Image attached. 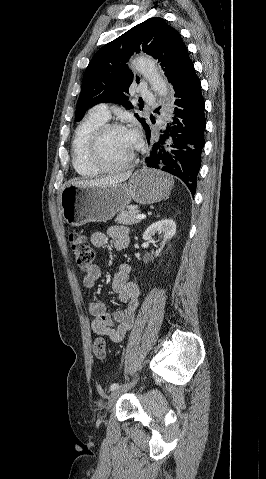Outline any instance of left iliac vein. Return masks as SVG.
<instances>
[{
    "mask_svg": "<svg viewBox=\"0 0 266 479\" xmlns=\"http://www.w3.org/2000/svg\"><path fill=\"white\" fill-rule=\"evenodd\" d=\"M135 382L131 383V386H133ZM123 390L117 389L111 392V394L108 396V401H107V409H110L112 405L116 402V400L119 398V396L122 394Z\"/></svg>",
    "mask_w": 266,
    "mask_h": 479,
    "instance_id": "4c4485c4",
    "label": "left iliac vein"
}]
</instances>
